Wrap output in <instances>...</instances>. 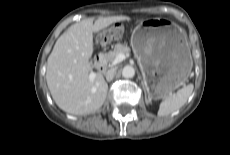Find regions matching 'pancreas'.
<instances>
[{"instance_id": "obj_1", "label": "pancreas", "mask_w": 230, "mask_h": 155, "mask_svg": "<svg viewBox=\"0 0 230 155\" xmlns=\"http://www.w3.org/2000/svg\"><path fill=\"white\" fill-rule=\"evenodd\" d=\"M120 53H123L125 55H129L130 48L126 45H122L120 43L116 44L114 46V50L109 51L107 53L101 54L102 60H104L107 64H112L116 56Z\"/></svg>"}]
</instances>
